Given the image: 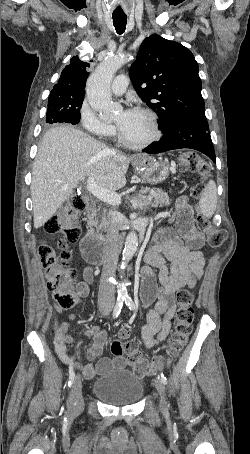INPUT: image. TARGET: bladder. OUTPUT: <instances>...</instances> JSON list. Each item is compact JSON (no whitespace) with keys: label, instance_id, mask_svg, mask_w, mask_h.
Here are the masks:
<instances>
[{"label":"bladder","instance_id":"1","mask_svg":"<svg viewBox=\"0 0 250 454\" xmlns=\"http://www.w3.org/2000/svg\"><path fill=\"white\" fill-rule=\"evenodd\" d=\"M145 391L143 379L135 372L120 368L92 383V393L108 405H133Z\"/></svg>","mask_w":250,"mask_h":454}]
</instances>
